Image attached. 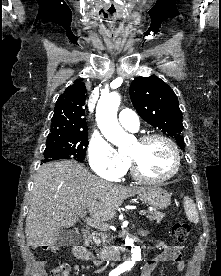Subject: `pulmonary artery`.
Here are the masks:
<instances>
[{
    "label": "pulmonary artery",
    "instance_id": "e3ab8cb5",
    "mask_svg": "<svg viewBox=\"0 0 221 276\" xmlns=\"http://www.w3.org/2000/svg\"><path fill=\"white\" fill-rule=\"evenodd\" d=\"M119 122L127 130L137 131L139 129V118L130 109H123L119 113Z\"/></svg>",
    "mask_w": 221,
    "mask_h": 276
}]
</instances>
